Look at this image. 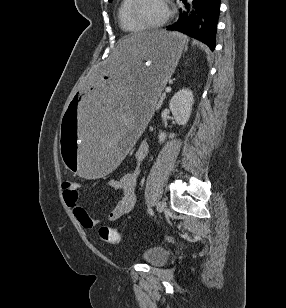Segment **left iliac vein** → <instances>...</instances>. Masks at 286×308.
Wrapping results in <instances>:
<instances>
[{"instance_id":"4c4485c4","label":"left iliac vein","mask_w":286,"mask_h":308,"mask_svg":"<svg viewBox=\"0 0 286 308\" xmlns=\"http://www.w3.org/2000/svg\"><path fill=\"white\" fill-rule=\"evenodd\" d=\"M165 207H166V204L163 201H159L156 205V208L159 212H163Z\"/></svg>"}]
</instances>
